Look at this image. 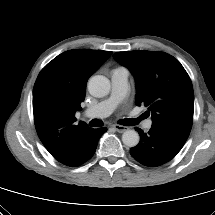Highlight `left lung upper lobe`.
I'll use <instances>...</instances> for the list:
<instances>
[{"instance_id": "left-lung-upper-lobe-1", "label": "left lung upper lobe", "mask_w": 215, "mask_h": 215, "mask_svg": "<svg viewBox=\"0 0 215 215\" xmlns=\"http://www.w3.org/2000/svg\"><path fill=\"white\" fill-rule=\"evenodd\" d=\"M115 60L135 76L137 106L152 116V128L185 144L192 127L194 93L181 63L164 52H117Z\"/></svg>"}]
</instances>
